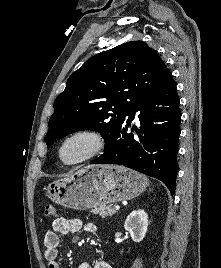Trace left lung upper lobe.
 Returning a JSON list of instances; mask_svg holds the SVG:
<instances>
[{"instance_id": "5c2ea615", "label": "left lung upper lobe", "mask_w": 221, "mask_h": 268, "mask_svg": "<svg viewBox=\"0 0 221 268\" xmlns=\"http://www.w3.org/2000/svg\"><path fill=\"white\" fill-rule=\"evenodd\" d=\"M172 78L158 53L143 41L127 42L93 56L72 73L55 99L47 146L80 130L98 131L108 141L138 101Z\"/></svg>"}]
</instances>
